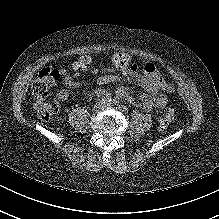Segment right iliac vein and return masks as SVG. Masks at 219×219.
I'll return each instance as SVG.
<instances>
[{
  "label": "right iliac vein",
  "mask_w": 219,
  "mask_h": 219,
  "mask_svg": "<svg viewBox=\"0 0 219 219\" xmlns=\"http://www.w3.org/2000/svg\"><path fill=\"white\" fill-rule=\"evenodd\" d=\"M101 107H103V103H102L101 101L96 102V103L93 105V109H94V110H99V109H101Z\"/></svg>",
  "instance_id": "right-iliac-vein-1"
}]
</instances>
